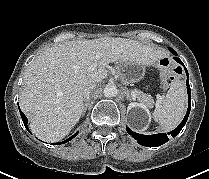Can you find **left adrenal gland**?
Wrapping results in <instances>:
<instances>
[{
  "mask_svg": "<svg viewBox=\"0 0 209 179\" xmlns=\"http://www.w3.org/2000/svg\"><path fill=\"white\" fill-rule=\"evenodd\" d=\"M126 99L129 100V101L132 100V99H131V96H130V94H129V92H127V94H126Z\"/></svg>",
  "mask_w": 209,
  "mask_h": 179,
  "instance_id": "a2214340",
  "label": "left adrenal gland"
}]
</instances>
